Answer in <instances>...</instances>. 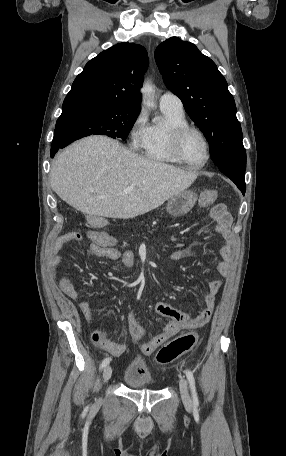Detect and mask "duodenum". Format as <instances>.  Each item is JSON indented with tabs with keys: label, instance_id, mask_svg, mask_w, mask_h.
<instances>
[{
	"label": "duodenum",
	"instance_id": "410a0bca",
	"mask_svg": "<svg viewBox=\"0 0 286 456\" xmlns=\"http://www.w3.org/2000/svg\"><path fill=\"white\" fill-rule=\"evenodd\" d=\"M99 220H104L103 218H100Z\"/></svg>",
	"mask_w": 286,
	"mask_h": 456
}]
</instances>
